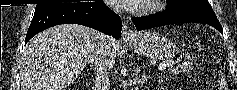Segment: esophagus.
<instances>
[{
  "label": "esophagus",
  "instance_id": "34e87169",
  "mask_svg": "<svg viewBox=\"0 0 237 90\" xmlns=\"http://www.w3.org/2000/svg\"><path fill=\"white\" fill-rule=\"evenodd\" d=\"M136 39V34L133 32V30L128 26L127 23L123 25L122 28V40L124 42H129Z\"/></svg>",
  "mask_w": 237,
  "mask_h": 90
}]
</instances>
